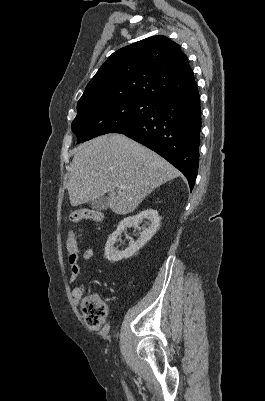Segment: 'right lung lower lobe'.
I'll list each match as a JSON object with an SVG mask.
<instances>
[{
	"label": "right lung lower lobe",
	"mask_w": 265,
	"mask_h": 401,
	"mask_svg": "<svg viewBox=\"0 0 265 401\" xmlns=\"http://www.w3.org/2000/svg\"><path fill=\"white\" fill-rule=\"evenodd\" d=\"M200 96L195 84L157 103L148 117L121 127V133L152 149L180 170L194 187L199 166Z\"/></svg>",
	"instance_id": "obj_1"
}]
</instances>
